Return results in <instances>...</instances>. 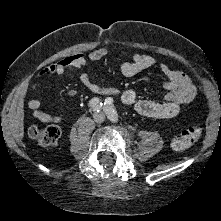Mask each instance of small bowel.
<instances>
[{"label":"small bowel","mask_w":221,"mask_h":221,"mask_svg":"<svg viewBox=\"0 0 221 221\" xmlns=\"http://www.w3.org/2000/svg\"><path fill=\"white\" fill-rule=\"evenodd\" d=\"M107 54L105 48H98L88 53H76L67 56L58 62L44 68L35 78L32 89L37 90L42 80L46 76L58 74L61 75L69 70L79 69L86 65L87 61H98ZM155 65V59L147 54L135 53L130 61L123 62L119 70L122 75L132 77L139 72L149 69ZM161 73L166 77L163 87L166 90L164 100L156 102L153 100L140 99L134 90H125L120 92L116 88L106 87L93 81L90 75L83 72L80 75L82 84L92 93L97 95L119 96L121 101L132 107L137 113L155 118H170L176 116L181 108L190 103L197 94V88L191 79L183 72L173 69L165 63L159 65ZM76 92L71 90L69 95L73 96ZM28 107L33 111L34 117L44 123H60L63 117L60 115H51L40 110V101L37 98L28 101Z\"/></svg>","instance_id":"small-bowel-1"}]
</instances>
